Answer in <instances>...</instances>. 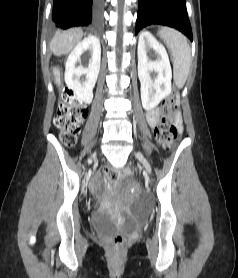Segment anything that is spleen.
Listing matches in <instances>:
<instances>
[{
  "mask_svg": "<svg viewBox=\"0 0 238 278\" xmlns=\"http://www.w3.org/2000/svg\"><path fill=\"white\" fill-rule=\"evenodd\" d=\"M159 36L171 51L174 82L178 88H182L191 67V50L187 39L179 31L167 27L159 31Z\"/></svg>",
  "mask_w": 238,
  "mask_h": 278,
  "instance_id": "spleen-1",
  "label": "spleen"
}]
</instances>
